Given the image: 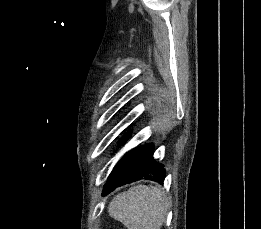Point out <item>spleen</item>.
Listing matches in <instances>:
<instances>
[{"instance_id":"1","label":"spleen","mask_w":261,"mask_h":229,"mask_svg":"<svg viewBox=\"0 0 261 229\" xmlns=\"http://www.w3.org/2000/svg\"><path fill=\"white\" fill-rule=\"evenodd\" d=\"M169 201L158 187L136 185L112 199L108 213L127 229H161Z\"/></svg>"}]
</instances>
